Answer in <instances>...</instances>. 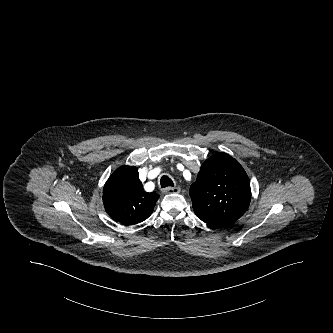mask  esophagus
Segmentation results:
<instances>
[{
  "instance_id": "esophagus-1",
  "label": "esophagus",
  "mask_w": 333,
  "mask_h": 333,
  "mask_svg": "<svg viewBox=\"0 0 333 333\" xmlns=\"http://www.w3.org/2000/svg\"><path fill=\"white\" fill-rule=\"evenodd\" d=\"M164 193H179L180 188L179 187H167L163 190Z\"/></svg>"
}]
</instances>
